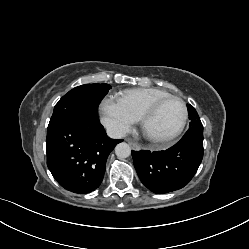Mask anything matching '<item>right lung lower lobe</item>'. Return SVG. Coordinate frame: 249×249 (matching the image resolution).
<instances>
[{"mask_svg": "<svg viewBox=\"0 0 249 249\" xmlns=\"http://www.w3.org/2000/svg\"><path fill=\"white\" fill-rule=\"evenodd\" d=\"M123 140L110 139L98 118H77L47 132V166L65 189L86 194L102 182L108 155Z\"/></svg>", "mask_w": 249, "mask_h": 249, "instance_id": "1", "label": "right lung lower lobe"}]
</instances>
